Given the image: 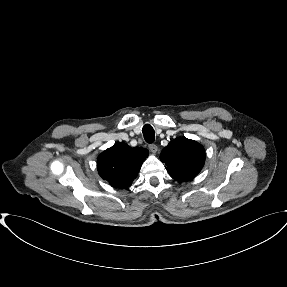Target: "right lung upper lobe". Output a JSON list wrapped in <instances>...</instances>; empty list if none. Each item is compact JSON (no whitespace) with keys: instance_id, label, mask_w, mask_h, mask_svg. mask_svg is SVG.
Masks as SVG:
<instances>
[{"instance_id":"cb5924a9","label":"right lung upper lobe","mask_w":287,"mask_h":287,"mask_svg":"<svg viewBox=\"0 0 287 287\" xmlns=\"http://www.w3.org/2000/svg\"><path fill=\"white\" fill-rule=\"evenodd\" d=\"M147 156L145 148H131L124 142L115 143L98 156V173L113 187L126 188L137 176Z\"/></svg>"}]
</instances>
